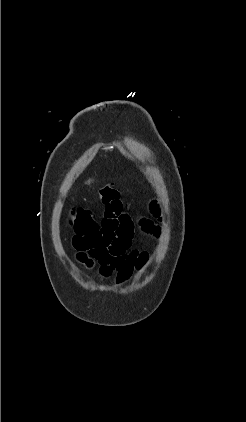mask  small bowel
<instances>
[{
	"label": "small bowel",
	"mask_w": 246,
	"mask_h": 422,
	"mask_svg": "<svg viewBox=\"0 0 246 422\" xmlns=\"http://www.w3.org/2000/svg\"><path fill=\"white\" fill-rule=\"evenodd\" d=\"M153 213L158 214L156 207ZM140 225L146 232L157 231L149 220H142ZM133 236L134 222L123 212L122 204L107 206L100 226L73 238L76 259L87 267L97 264L102 277L114 275L122 285L132 276L139 256L132 249Z\"/></svg>",
	"instance_id": "obj_1"
}]
</instances>
